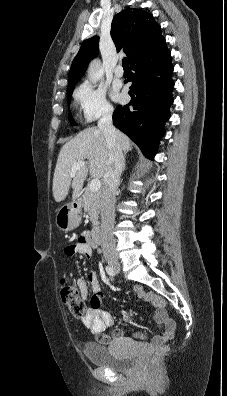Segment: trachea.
I'll return each mask as SVG.
<instances>
[{"label": "trachea", "mask_w": 227, "mask_h": 396, "mask_svg": "<svg viewBox=\"0 0 227 396\" xmlns=\"http://www.w3.org/2000/svg\"><path fill=\"white\" fill-rule=\"evenodd\" d=\"M122 65H123L124 68H128L129 67L128 59L126 57L123 58Z\"/></svg>", "instance_id": "obj_1"}]
</instances>
